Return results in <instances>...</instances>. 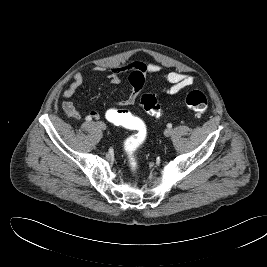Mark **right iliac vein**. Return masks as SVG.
Wrapping results in <instances>:
<instances>
[{"mask_svg":"<svg viewBox=\"0 0 267 267\" xmlns=\"http://www.w3.org/2000/svg\"><path fill=\"white\" fill-rule=\"evenodd\" d=\"M97 125L101 130H105L106 129V124L104 122H98Z\"/></svg>","mask_w":267,"mask_h":267,"instance_id":"right-iliac-vein-1","label":"right iliac vein"}]
</instances>
